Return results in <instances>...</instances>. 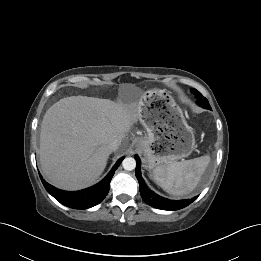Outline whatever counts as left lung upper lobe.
Returning a JSON list of instances; mask_svg holds the SVG:
<instances>
[{
    "label": "left lung upper lobe",
    "mask_w": 261,
    "mask_h": 261,
    "mask_svg": "<svg viewBox=\"0 0 261 261\" xmlns=\"http://www.w3.org/2000/svg\"><path fill=\"white\" fill-rule=\"evenodd\" d=\"M192 92L197 96L196 103L198 105H200L201 107H203L205 109H210L211 110V107L209 105L208 100L205 97H203L202 94L199 91H197L196 89H193Z\"/></svg>",
    "instance_id": "left-lung-upper-lobe-1"
}]
</instances>
